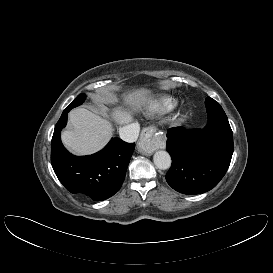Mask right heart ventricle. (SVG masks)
Masks as SVG:
<instances>
[{
	"label": "right heart ventricle",
	"mask_w": 273,
	"mask_h": 273,
	"mask_svg": "<svg viewBox=\"0 0 273 273\" xmlns=\"http://www.w3.org/2000/svg\"><path fill=\"white\" fill-rule=\"evenodd\" d=\"M172 103L169 99H163L160 103H158L154 108L156 111L161 112L164 110H168L172 108Z\"/></svg>",
	"instance_id": "e07e8e85"
}]
</instances>
